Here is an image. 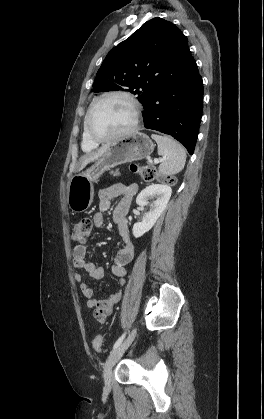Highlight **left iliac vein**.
Here are the masks:
<instances>
[{
  "instance_id": "left-iliac-vein-1",
  "label": "left iliac vein",
  "mask_w": 264,
  "mask_h": 419,
  "mask_svg": "<svg viewBox=\"0 0 264 419\" xmlns=\"http://www.w3.org/2000/svg\"><path fill=\"white\" fill-rule=\"evenodd\" d=\"M135 335H136V329H133L132 332L128 335V337L117 348H115L108 356L104 365V372H103L104 382L107 388H109L111 385V376H112L113 366L119 361V359L122 357L124 352L131 345L132 341L135 338Z\"/></svg>"
}]
</instances>
